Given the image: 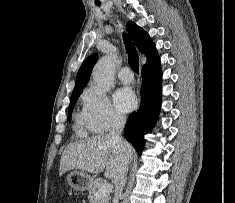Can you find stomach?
Masks as SVG:
<instances>
[{
    "label": "stomach",
    "mask_w": 235,
    "mask_h": 203,
    "mask_svg": "<svg viewBox=\"0 0 235 203\" xmlns=\"http://www.w3.org/2000/svg\"><path fill=\"white\" fill-rule=\"evenodd\" d=\"M66 181L76 191H86L93 185L94 178L88 173L75 170L66 176Z\"/></svg>",
    "instance_id": "obj_1"
}]
</instances>
